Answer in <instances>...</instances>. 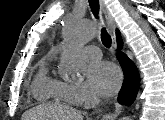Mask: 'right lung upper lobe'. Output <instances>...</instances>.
Returning <instances> with one entry per match:
<instances>
[{
    "label": "right lung upper lobe",
    "instance_id": "cb5924a9",
    "mask_svg": "<svg viewBox=\"0 0 165 120\" xmlns=\"http://www.w3.org/2000/svg\"><path fill=\"white\" fill-rule=\"evenodd\" d=\"M116 36H117V38L121 37L118 30H116Z\"/></svg>",
    "mask_w": 165,
    "mask_h": 120
}]
</instances>
